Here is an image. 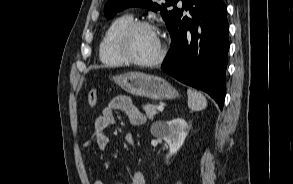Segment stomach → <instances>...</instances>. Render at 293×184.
Wrapping results in <instances>:
<instances>
[{
  "label": "stomach",
  "instance_id": "stomach-1",
  "mask_svg": "<svg viewBox=\"0 0 293 184\" xmlns=\"http://www.w3.org/2000/svg\"><path fill=\"white\" fill-rule=\"evenodd\" d=\"M124 91L153 100L173 99L178 92L163 78L141 72H128L113 77Z\"/></svg>",
  "mask_w": 293,
  "mask_h": 184
}]
</instances>
